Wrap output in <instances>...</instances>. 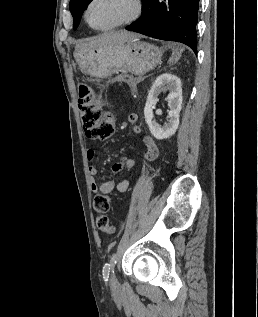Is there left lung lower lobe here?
I'll return each mask as SVG.
<instances>
[{
    "mask_svg": "<svg viewBox=\"0 0 258 317\" xmlns=\"http://www.w3.org/2000/svg\"><path fill=\"white\" fill-rule=\"evenodd\" d=\"M200 0H144L142 16L126 29L153 38L181 42L197 54Z\"/></svg>",
    "mask_w": 258,
    "mask_h": 317,
    "instance_id": "left-lung-lower-lobe-1",
    "label": "left lung lower lobe"
}]
</instances>
